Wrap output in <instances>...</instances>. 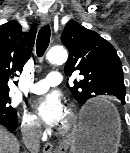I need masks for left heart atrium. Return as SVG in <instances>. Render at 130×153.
Segmentation results:
<instances>
[{"label":"left heart atrium","mask_w":130,"mask_h":153,"mask_svg":"<svg viewBox=\"0 0 130 153\" xmlns=\"http://www.w3.org/2000/svg\"><path fill=\"white\" fill-rule=\"evenodd\" d=\"M36 110L41 120L47 125L59 124L65 116V107L57 93H49L36 103Z\"/></svg>","instance_id":"1"}]
</instances>
